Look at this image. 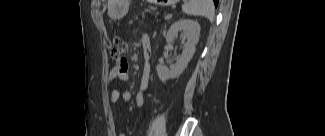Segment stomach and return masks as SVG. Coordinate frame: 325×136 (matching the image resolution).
Wrapping results in <instances>:
<instances>
[{
    "label": "stomach",
    "instance_id": "stomach-1",
    "mask_svg": "<svg viewBox=\"0 0 325 136\" xmlns=\"http://www.w3.org/2000/svg\"><path fill=\"white\" fill-rule=\"evenodd\" d=\"M156 5L159 6H170L177 2V0H151ZM129 9V3L126 0H114V5L112 9V16L117 19L123 17Z\"/></svg>",
    "mask_w": 325,
    "mask_h": 136
}]
</instances>
